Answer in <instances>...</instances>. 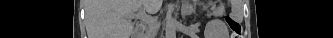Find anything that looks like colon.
I'll list each match as a JSON object with an SVG mask.
<instances>
[{
	"label": "colon",
	"instance_id": "1",
	"mask_svg": "<svg viewBox=\"0 0 333 38\" xmlns=\"http://www.w3.org/2000/svg\"><path fill=\"white\" fill-rule=\"evenodd\" d=\"M225 20L232 32L231 38H242V26L240 22L231 16H226Z\"/></svg>",
	"mask_w": 333,
	"mask_h": 38
}]
</instances>
